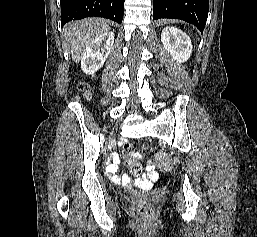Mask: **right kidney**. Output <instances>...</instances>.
<instances>
[{"label": "right kidney", "mask_w": 257, "mask_h": 237, "mask_svg": "<svg viewBox=\"0 0 257 237\" xmlns=\"http://www.w3.org/2000/svg\"><path fill=\"white\" fill-rule=\"evenodd\" d=\"M114 44V33L107 31L95 38L86 48L82 59L81 68L86 74H94L107 59Z\"/></svg>", "instance_id": "1"}]
</instances>
